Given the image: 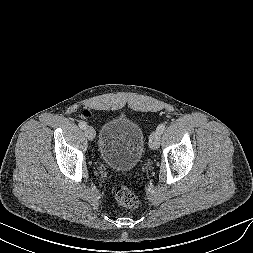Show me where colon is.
<instances>
[{
  "mask_svg": "<svg viewBox=\"0 0 253 253\" xmlns=\"http://www.w3.org/2000/svg\"><path fill=\"white\" fill-rule=\"evenodd\" d=\"M115 199L123 207L133 209L139 204V199L135 192L128 186H118L115 189Z\"/></svg>",
  "mask_w": 253,
  "mask_h": 253,
  "instance_id": "obj_1",
  "label": "colon"
}]
</instances>
